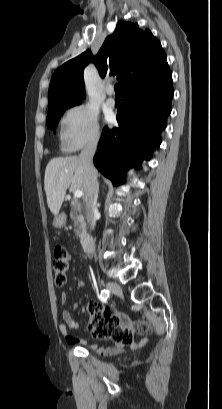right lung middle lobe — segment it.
<instances>
[{"mask_svg": "<svg viewBox=\"0 0 222 409\" xmlns=\"http://www.w3.org/2000/svg\"><path fill=\"white\" fill-rule=\"evenodd\" d=\"M71 106L72 105L64 106V107H60V108H56V109L48 111L47 127L54 130L60 117L63 115L65 110Z\"/></svg>", "mask_w": 222, "mask_h": 409, "instance_id": "1", "label": "right lung middle lobe"}]
</instances>
